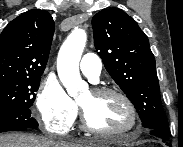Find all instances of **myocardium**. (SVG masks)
Returning a JSON list of instances; mask_svg holds the SVG:
<instances>
[{"instance_id": "f54148a6", "label": "myocardium", "mask_w": 183, "mask_h": 147, "mask_svg": "<svg viewBox=\"0 0 183 147\" xmlns=\"http://www.w3.org/2000/svg\"><path fill=\"white\" fill-rule=\"evenodd\" d=\"M91 92L96 96L114 95L119 97L126 104L130 112L131 124L128 128L124 130H102L96 128L91 124L85 109L79 104L82 126L87 132L101 136H123L131 134L137 129L139 125L138 113L134 103L125 93H123L120 90L109 87H97L92 89Z\"/></svg>"}]
</instances>
